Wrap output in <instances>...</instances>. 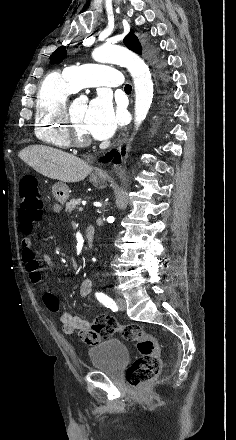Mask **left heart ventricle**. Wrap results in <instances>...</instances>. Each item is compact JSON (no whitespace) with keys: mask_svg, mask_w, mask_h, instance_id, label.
<instances>
[{"mask_svg":"<svg viewBox=\"0 0 236 440\" xmlns=\"http://www.w3.org/2000/svg\"><path fill=\"white\" fill-rule=\"evenodd\" d=\"M87 109V103L85 101L76 99L72 102V115L74 123L78 132L83 136H89L85 125V113Z\"/></svg>","mask_w":236,"mask_h":440,"instance_id":"1","label":"left heart ventricle"}]
</instances>
